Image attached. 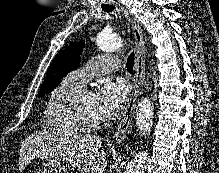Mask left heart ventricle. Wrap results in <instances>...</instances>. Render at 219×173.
I'll return each instance as SVG.
<instances>
[{
  "instance_id": "b2bd125f",
  "label": "left heart ventricle",
  "mask_w": 219,
  "mask_h": 173,
  "mask_svg": "<svg viewBox=\"0 0 219 173\" xmlns=\"http://www.w3.org/2000/svg\"><path fill=\"white\" fill-rule=\"evenodd\" d=\"M82 109L87 118L93 121H102L101 117L98 114L96 103H95V94L87 93L82 101Z\"/></svg>"
}]
</instances>
